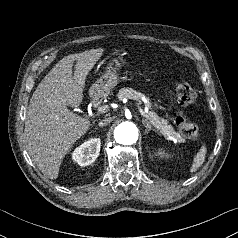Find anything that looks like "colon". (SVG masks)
I'll list each match as a JSON object with an SVG mask.
<instances>
[{"mask_svg":"<svg viewBox=\"0 0 238 238\" xmlns=\"http://www.w3.org/2000/svg\"><path fill=\"white\" fill-rule=\"evenodd\" d=\"M176 97L180 106L186 107L196 99L195 90L187 83H179L176 86ZM180 134L187 139H196L200 135V128L195 123L189 122L181 114L174 118Z\"/></svg>","mask_w":238,"mask_h":238,"instance_id":"1","label":"colon"}]
</instances>
